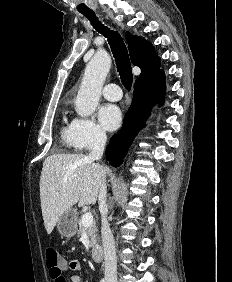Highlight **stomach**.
Returning <instances> with one entry per match:
<instances>
[{
  "mask_svg": "<svg viewBox=\"0 0 232 282\" xmlns=\"http://www.w3.org/2000/svg\"><path fill=\"white\" fill-rule=\"evenodd\" d=\"M77 211L73 208L65 211L57 222V230L62 237L70 239L77 232Z\"/></svg>",
  "mask_w": 232,
  "mask_h": 282,
  "instance_id": "0dacf381",
  "label": "stomach"
}]
</instances>
